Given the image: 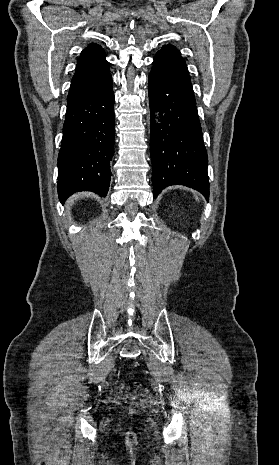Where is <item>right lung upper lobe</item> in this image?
Listing matches in <instances>:
<instances>
[{"mask_svg": "<svg viewBox=\"0 0 279 465\" xmlns=\"http://www.w3.org/2000/svg\"><path fill=\"white\" fill-rule=\"evenodd\" d=\"M110 74L104 50L95 43L85 48L77 61L67 105L88 94Z\"/></svg>", "mask_w": 279, "mask_h": 465, "instance_id": "obj_1", "label": "right lung upper lobe"}]
</instances>
